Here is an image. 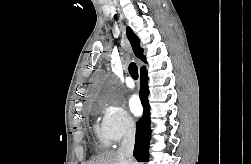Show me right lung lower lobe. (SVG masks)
I'll use <instances>...</instances> for the list:
<instances>
[{"instance_id":"98d812e1","label":"right lung lower lobe","mask_w":251,"mask_h":164,"mask_svg":"<svg viewBox=\"0 0 251 164\" xmlns=\"http://www.w3.org/2000/svg\"><path fill=\"white\" fill-rule=\"evenodd\" d=\"M140 82H141V90H140V98L142 101V105L144 107L143 116L137 122L136 127V139H135V147L133 155L137 159L138 162H148L149 159V141L151 138V130H150V106L148 102V77L147 71L145 68L140 71Z\"/></svg>"}]
</instances>
